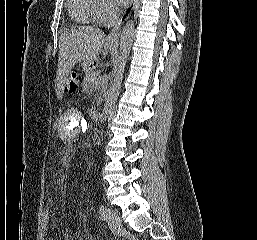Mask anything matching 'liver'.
Here are the masks:
<instances>
[{
  "label": "liver",
  "mask_w": 257,
  "mask_h": 240,
  "mask_svg": "<svg viewBox=\"0 0 257 240\" xmlns=\"http://www.w3.org/2000/svg\"><path fill=\"white\" fill-rule=\"evenodd\" d=\"M105 34L96 27L83 26L63 33L59 38V59L55 88L58 98L63 96L64 84L79 62L93 63L101 53Z\"/></svg>",
  "instance_id": "6515ba94"
}]
</instances>
